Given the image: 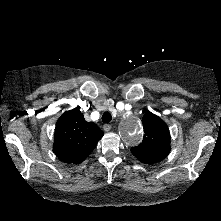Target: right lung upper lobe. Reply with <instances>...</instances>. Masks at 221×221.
I'll return each mask as SVG.
<instances>
[{
  "mask_svg": "<svg viewBox=\"0 0 221 221\" xmlns=\"http://www.w3.org/2000/svg\"><path fill=\"white\" fill-rule=\"evenodd\" d=\"M103 132L93 122H87L78 108L65 112L57 121L54 152L67 163L82 162L102 138Z\"/></svg>",
  "mask_w": 221,
  "mask_h": 221,
  "instance_id": "1",
  "label": "right lung upper lobe"
}]
</instances>
